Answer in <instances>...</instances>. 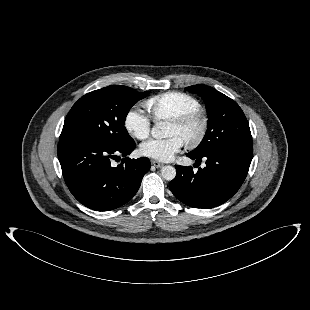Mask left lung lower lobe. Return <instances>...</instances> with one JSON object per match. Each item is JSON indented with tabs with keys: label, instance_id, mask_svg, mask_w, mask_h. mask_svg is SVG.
I'll use <instances>...</instances> for the list:
<instances>
[{
	"label": "left lung lower lobe",
	"instance_id": "1",
	"mask_svg": "<svg viewBox=\"0 0 310 310\" xmlns=\"http://www.w3.org/2000/svg\"><path fill=\"white\" fill-rule=\"evenodd\" d=\"M252 144L234 145L204 156L187 154L196 163L206 159V167L193 172L191 166L176 165L177 175L169 183L174 196L194 208H213L225 203L244 182L252 160Z\"/></svg>",
	"mask_w": 310,
	"mask_h": 310
}]
</instances>
